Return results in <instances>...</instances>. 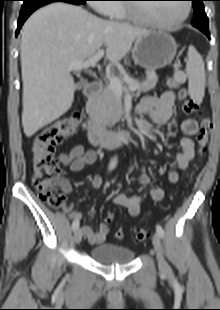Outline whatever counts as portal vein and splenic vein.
I'll return each mask as SVG.
<instances>
[{
	"label": "portal vein and splenic vein",
	"instance_id": "portal-vein-and-splenic-vein-1",
	"mask_svg": "<svg viewBox=\"0 0 220 310\" xmlns=\"http://www.w3.org/2000/svg\"><path fill=\"white\" fill-rule=\"evenodd\" d=\"M104 56V49H99L95 55L86 61L73 62L68 66L69 71H81L82 69L88 68L91 65L96 64ZM109 85L111 89L117 94L122 95L123 91L126 90L120 80L117 77L109 78ZM138 88L137 83H130L128 86L129 91H136Z\"/></svg>",
	"mask_w": 220,
	"mask_h": 310
}]
</instances>
